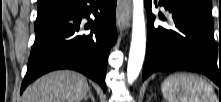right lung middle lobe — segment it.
<instances>
[{
	"instance_id": "obj_1",
	"label": "right lung middle lobe",
	"mask_w": 221,
	"mask_h": 102,
	"mask_svg": "<svg viewBox=\"0 0 221 102\" xmlns=\"http://www.w3.org/2000/svg\"><path fill=\"white\" fill-rule=\"evenodd\" d=\"M73 2L74 1H61L60 3L54 6L38 9L35 28L43 25L48 20L56 17L61 12L70 8Z\"/></svg>"
}]
</instances>
